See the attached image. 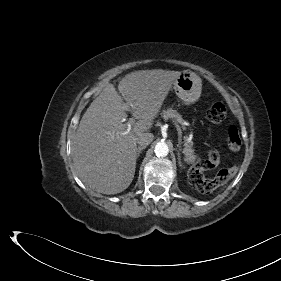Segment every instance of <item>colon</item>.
Here are the masks:
<instances>
[{
  "instance_id": "obj_1",
  "label": "colon",
  "mask_w": 281,
  "mask_h": 281,
  "mask_svg": "<svg viewBox=\"0 0 281 281\" xmlns=\"http://www.w3.org/2000/svg\"><path fill=\"white\" fill-rule=\"evenodd\" d=\"M226 107L223 103L213 104L207 111L206 117L212 123H221L226 118ZM227 145L231 150H238L242 141L238 130L231 126L227 132ZM220 155L216 149L209 152L206 159L202 160L197 167L192 169L189 174L190 183L201 192L210 193L217 187L227 182L238 170V165L230 168L221 169L214 179H207L203 176L202 171L216 167L219 164Z\"/></svg>"
}]
</instances>
